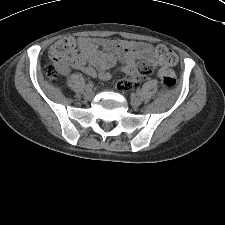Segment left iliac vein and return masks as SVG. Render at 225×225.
<instances>
[{"label":"left iliac vein","instance_id":"1","mask_svg":"<svg viewBox=\"0 0 225 225\" xmlns=\"http://www.w3.org/2000/svg\"><path fill=\"white\" fill-rule=\"evenodd\" d=\"M141 104V99L139 97H132L131 98V105L132 106H138Z\"/></svg>","mask_w":225,"mask_h":225}]
</instances>
